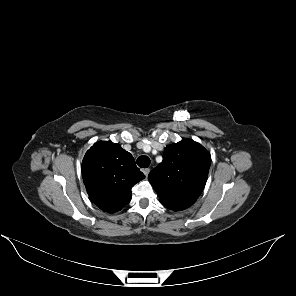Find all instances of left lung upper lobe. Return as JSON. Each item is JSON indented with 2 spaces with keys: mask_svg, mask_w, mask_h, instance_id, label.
Instances as JSON below:
<instances>
[{
  "mask_svg": "<svg viewBox=\"0 0 296 296\" xmlns=\"http://www.w3.org/2000/svg\"><path fill=\"white\" fill-rule=\"evenodd\" d=\"M210 164L211 156L202 145L183 139L165 148L162 163L149 173L148 179L162 205L174 211L184 210L202 193Z\"/></svg>",
  "mask_w": 296,
  "mask_h": 296,
  "instance_id": "obj_1",
  "label": "left lung upper lobe"
}]
</instances>
